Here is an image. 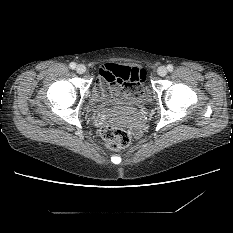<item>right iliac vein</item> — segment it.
Listing matches in <instances>:
<instances>
[{
    "label": "right iliac vein",
    "instance_id": "63e3f726",
    "mask_svg": "<svg viewBox=\"0 0 233 233\" xmlns=\"http://www.w3.org/2000/svg\"><path fill=\"white\" fill-rule=\"evenodd\" d=\"M76 72L79 74H83L86 72V67L82 64L77 65Z\"/></svg>",
    "mask_w": 233,
    "mask_h": 233
}]
</instances>
